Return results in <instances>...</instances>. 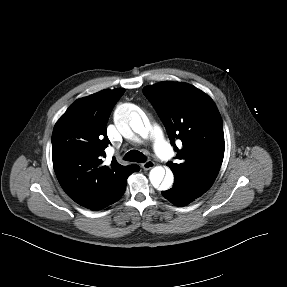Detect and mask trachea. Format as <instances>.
I'll list each match as a JSON object with an SVG mask.
<instances>
[{"instance_id": "3493384b", "label": "trachea", "mask_w": 287, "mask_h": 287, "mask_svg": "<svg viewBox=\"0 0 287 287\" xmlns=\"http://www.w3.org/2000/svg\"><path fill=\"white\" fill-rule=\"evenodd\" d=\"M146 159H147L146 156L142 152L137 150H130L124 156V160L138 163H143L146 161Z\"/></svg>"}]
</instances>
